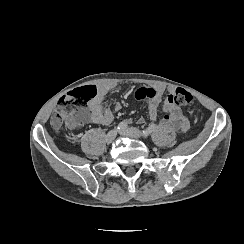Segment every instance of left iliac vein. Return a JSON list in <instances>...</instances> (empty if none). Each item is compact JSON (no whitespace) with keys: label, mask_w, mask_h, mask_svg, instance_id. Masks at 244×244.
Here are the masks:
<instances>
[{"label":"left iliac vein","mask_w":244,"mask_h":244,"mask_svg":"<svg viewBox=\"0 0 244 244\" xmlns=\"http://www.w3.org/2000/svg\"><path fill=\"white\" fill-rule=\"evenodd\" d=\"M121 135L130 137V138H141L142 133L137 128H126L120 132Z\"/></svg>","instance_id":"obj_1"}]
</instances>
